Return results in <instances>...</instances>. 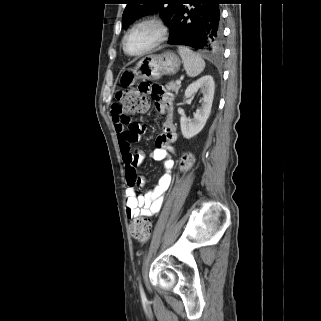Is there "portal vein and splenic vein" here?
Here are the masks:
<instances>
[{"instance_id": "1", "label": "portal vein and splenic vein", "mask_w": 321, "mask_h": 321, "mask_svg": "<svg viewBox=\"0 0 321 321\" xmlns=\"http://www.w3.org/2000/svg\"><path fill=\"white\" fill-rule=\"evenodd\" d=\"M176 83H177V84H181V80H177Z\"/></svg>"}]
</instances>
